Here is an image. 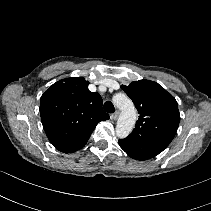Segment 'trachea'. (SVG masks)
Wrapping results in <instances>:
<instances>
[{"label":"trachea","mask_w":211,"mask_h":211,"mask_svg":"<svg viewBox=\"0 0 211 211\" xmlns=\"http://www.w3.org/2000/svg\"><path fill=\"white\" fill-rule=\"evenodd\" d=\"M104 110L108 113H114L115 108H114V105L112 104V102H110V101L105 102Z\"/></svg>","instance_id":"1"}]
</instances>
